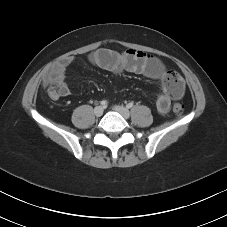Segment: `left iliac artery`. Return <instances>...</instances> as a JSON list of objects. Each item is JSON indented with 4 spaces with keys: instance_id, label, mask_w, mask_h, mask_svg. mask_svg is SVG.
<instances>
[{
    "instance_id": "left-iliac-artery-1",
    "label": "left iliac artery",
    "mask_w": 227,
    "mask_h": 227,
    "mask_svg": "<svg viewBox=\"0 0 227 227\" xmlns=\"http://www.w3.org/2000/svg\"><path fill=\"white\" fill-rule=\"evenodd\" d=\"M127 107H128V108L133 107V103H132V102L128 103Z\"/></svg>"
}]
</instances>
